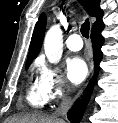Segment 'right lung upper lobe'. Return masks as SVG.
Here are the masks:
<instances>
[{
    "label": "right lung upper lobe",
    "instance_id": "1",
    "mask_svg": "<svg viewBox=\"0 0 118 123\" xmlns=\"http://www.w3.org/2000/svg\"><path fill=\"white\" fill-rule=\"evenodd\" d=\"M85 10L88 12L90 16H96V22L92 27V33L101 31L104 28V24L102 21L103 11L99 7L100 0H79ZM46 26V16L45 14H41L39 17L35 29L32 35L31 43H30V51L28 53L26 68L29 67L32 60L36 58L38 55L40 48L42 46V41L44 38Z\"/></svg>",
    "mask_w": 118,
    "mask_h": 123
}]
</instances>
